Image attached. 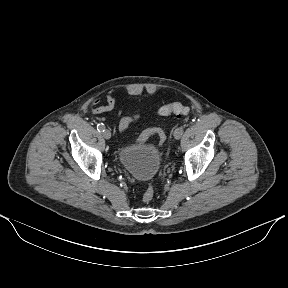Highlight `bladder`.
Returning a JSON list of instances; mask_svg holds the SVG:
<instances>
[{
    "label": "bladder",
    "mask_w": 288,
    "mask_h": 288,
    "mask_svg": "<svg viewBox=\"0 0 288 288\" xmlns=\"http://www.w3.org/2000/svg\"><path fill=\"white\" fill-rule=\"evenodd\" d=\"M117 159L122 168L138 181H148L158 173L161 151L151 144L122 146L117 151Z\"/></svg>",
    "instance_id": "1"
}]
</instances>
